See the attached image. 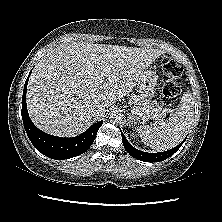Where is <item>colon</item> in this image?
I'll return each mask as SVG.
<instances>
[{"mask_svg": "<svg viewBox=\"0 0 222 222\" xmlns=\"http://www.w3.org/2000/svg\"><path fill=\"white\" fill-rule=\"evenodd\" d=\"M163 73L162 95L167 100H173L181 92V76L183 69L171 58L165 57L161 61Z\"/></svg>", "mask_w": 222, "mask_h": 222, "instance_id": "1", "label": "colon"}]
</instances>
